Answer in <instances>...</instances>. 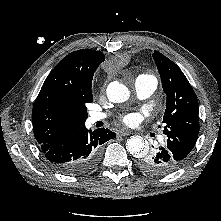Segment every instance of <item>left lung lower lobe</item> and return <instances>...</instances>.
Instances as JSON below:
<instances>
[{"mask_svg": "<svg viewBox=\"0 0 221 221\" xmlns=\"http://www.w3.org/2000/svg\"><path fill=\"white\" fill-rule=\"evenodd\" d=\"M149 154L138 158L139 169L155 175L169 174L178 169L182 163L178 160L166 144L152 146Z\"/></svg>", "mask_w": 221, "mask_h": 221, "instance_id": "1", "label": "left lung lower lobe"}]
</instances>
